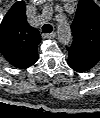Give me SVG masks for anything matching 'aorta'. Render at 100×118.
Instances as JSON below:
<instances>
[{
	"label": "aorta",
	"mask_w": 100,
	"mask_h": 118,
	"mask_svg": "<svg viewBox=\"0 0 100 118\" xmlns=\"http://www.w3.org/2000/svg\"><path fill=\"white\" fill-rule=\"evenodd\" d=\"M58 40L61 44L68 45L72 40L71 29L67 22L58 25Z\"/></svg>",
	"instance_id": "762f6f07"
}]
</instances>
